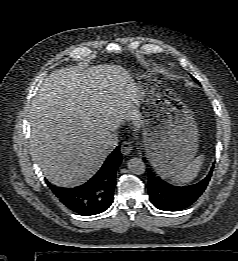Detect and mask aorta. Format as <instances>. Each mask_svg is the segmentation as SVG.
Wrapping results in <instances>:
<instances>
[{
  "label": "aorta",
  "instance_id": "1",
  "mask_svg": "<svg viewBox=\"0 0 238 261\" xmlns=\"http://www.w3.org/2000/svg\"><path fill=\"white\" fill-rule=\"evenodd\" d=\"M128 169L132 174L141 175L145 173V163L141 158H131L128 161Z\"/></svg>",
  "mask_w": 238,
  "mask_h": 261
}]
</instances>
